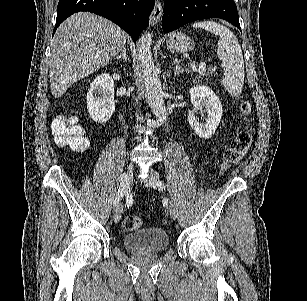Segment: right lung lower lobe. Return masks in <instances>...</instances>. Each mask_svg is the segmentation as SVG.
<instances>
[{
  "instance_id": "1",
  "label": "right lung lower lobe",
  "mask_w": 307,
  "mask_h": 301,
  "mask_svg": "<svg viewBox=\"0 0 307 301\" xmlns=\"http://www.w3.org/2000/svg\"><path fill=\"white\" fill-rule=\"evenodd\" d=\"M154 3V0H59L54 32L71 14L89 11L119 25L136 43L148 26Z\"/></svg>"
}]
</instances>
